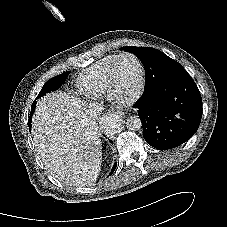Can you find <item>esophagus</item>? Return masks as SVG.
<instances>
[{
	"label": "esophagus",
	"instance_id": "34e87169",
	"mask_svg": "<svg viewBox=\"0 0 227 227\" xmlns=\"http://www.w3.org/2000/svg\"><path fill=\"white\" fill-rule=\"evenodd\" d=\"M105 116L106 117H108V116H115L116 118H120L121 117V114L118 111H112V112L109 111L108 113H106Z\"/></svg>",
	"mask_w": 227,
	"mask_h": 227
}]
</instances>
